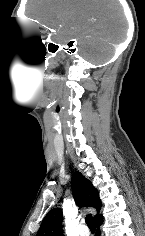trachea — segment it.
Segmentation results:
<instances>
[{
	"mask_svg": "<svg viewBox=\"0 0 145 236\" xmlns=\"http://www.w3.org/2000/svg\"><path fill=\"white\" fill-rule=\"evenodd\" d=\"M86 223H87V225H88V227H89L90 229H96L95 223H94V221H93V218H92V215H91V214H88V215L86 216Z\"/></svg>",
	"mask_w": 145,
	"mask_h": 236,
	"instance_id": "3493384b",
	"label": "trachea"
}]
</instances>
